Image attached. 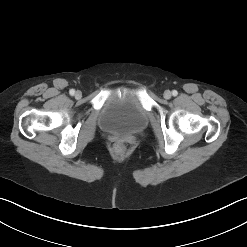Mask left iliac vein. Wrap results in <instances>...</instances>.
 <instances>
[{"instance_id": "obj_1", "label": "left iliac vein", "mask_w": 247, "mask_h": 247, "mask_svg": "<svg viewBox=\"0 0 247 247\" xmlns=\"http://www.w3.org/2000/svg\"><path fill=\"white\" fill-rule=\"evenodd\" d=\"M163 96H164L165 99H170L172 94H171V92L169 90H166L164 92Z\"/></svg>"}]
</instances>
